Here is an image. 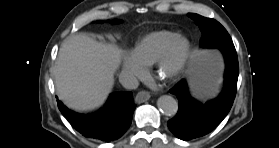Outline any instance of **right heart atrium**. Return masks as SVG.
<instances>
[{"label":"right heart atrium","instance_id":"right-heart-atrium-1","mask_svg":"<svg viewBox=\"0 0 279 148\" xmlns=\"http://www.w3.org/2000/svg\"><path fill=\"white\" fill-rule=\"evenodd\" d=\"M123 71L133 77H143L146 73V68L142 65L134 54H127L123 59Z\"/></svg>","mask_w":279,"mask_h":148}]
</instances>
